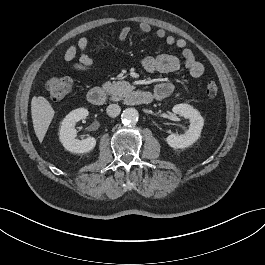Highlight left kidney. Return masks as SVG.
Listing matches in <instances>:
<instances>
[{
  "instance_id": "left-kidney-1",
  "label": "left kidney",
  "mask_w": 265,
  "mask_h": 265,
  "mask_svg": "<svg viewBox=\"0 0 265 265\" xmlns=\"http://www.w3.org/2000/svg\"><path fill=\"white\" fill-rule=\"evenodd\" d=\"M175 114L190 120L189 129L185 134H171L166 138L167 144L174 149H183L196 142L201 134L204 120L200 113L188 104H177L173 107Z\"/></svg>"
}]
</instances>
